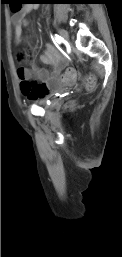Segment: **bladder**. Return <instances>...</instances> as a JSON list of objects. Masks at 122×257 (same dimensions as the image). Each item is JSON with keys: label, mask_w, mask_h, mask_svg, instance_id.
I'll return each instance as SVG.
<instances>
[{"label": "bladder", "mask_w": 122, "mask_h": 257, "mask_svg": "<svg viewBox=\"0 0 122 257\" xmlns=\"http://www.w3.org/2000/svg\"><path fill=\"white\" fill-rule=\"evenodd\" d=\"M36 103L40 106L46 107V100L44 98L37 100Z\"/></svg>", "instance_id": "31cf9c89"}]
</instances>
